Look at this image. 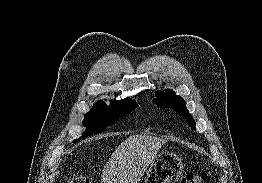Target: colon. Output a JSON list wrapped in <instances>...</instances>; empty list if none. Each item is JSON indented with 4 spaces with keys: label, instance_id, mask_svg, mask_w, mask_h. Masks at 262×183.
I'll return each instance as SVG.
<instances>
[{
    "label": "colon",
    "instance_id": "1",
    "mask_svg": "<svg viewBox=\"0 0 262 183\" xmlns=\"http://www.w3.org/2000/svg\"><path fill=\"white\" fill-rule=\"evenodd\" d=\"M207 180L206 172L187 173L182 178L180 183H205ZM67 183H92L91 180L83 175H74L70 177Z\"/></svg>",
    "mask_w": 262,
    "mask_h": 183
}]
</instances>
